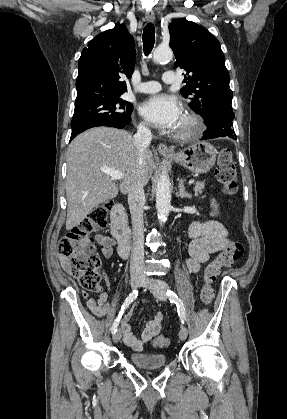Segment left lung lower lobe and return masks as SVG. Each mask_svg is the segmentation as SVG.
I'll list each match as a JSON object with an SVG mask.
<instances>
[{
  "label": "left lung lower lobe",
  "instance_id": "left-lung-lower-lobe-1",
  "mask_svg": "<svg viewBox=\"0 0 287 419\" xmlns=\"http://www.w3.org/2000/svg\"><path fill=\"white\" fill-rule=\"evenodd\" d=\"M234 113L231 104H223L213 109L208 120L205 121L207 130L204 132L201 140H207L217 137H230L237 139L232 129Z\"/></svg>",
  "mask_w": 287,
  "mask_h": 419
}]
</instances>
